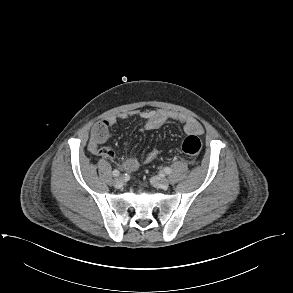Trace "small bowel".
<instances>
[{
  "instance_id": "obj_1",
  "label": "small bowel",
  "mask_w": 293,
  "mask_h": 293,
  "mask_svg": "<svg viewBox=\"0 0 293 293\" xmlns=\"http://www.w3.org/2000/svg\"><path fill=\"white\" fill-rule=\"evenodd\" d=\"M130 117H140L145 120V129L147 130H154L160 128L167 122H179L183 125L184 130L188 134L192 135H202L204 130L202 125L194 118L187 116L182 113L166 111V110H133V111H126L121 112L117 115H108L103 118L101 121V125L108 129L113 126L117 120H126ZM96 146H91V149L94 151ZM159 154V150L157 148L152 149L148 152L144 159V163L152 162ZM103 156L107 159H110L116 162L115 153L110 150L106 149L103 153ZM120 165L127 171H135L139 168L140 162L135 158H127Z\"/></svg>"
}]
</instances>
